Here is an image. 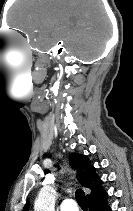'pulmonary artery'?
I'll return each mask as SVG.
<instances>
[{"instance_id":"1","label":"pulmonary artery","mask_w":133,"mask_h":211,"mask_svg":"<svg viewBox=\"0 0 133 211\" xmlns=\"http://www.w3.org/2000/svg\"><path fill=\"white\" fill-rule=\"evenodd\" d=\"M60 211H79L76 202L71 199L67 198L62 201L60 204Z\"/></svg>"}]
</instances>
